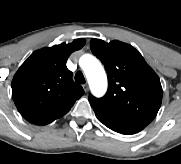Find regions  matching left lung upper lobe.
<instances>
[{
    "label": "left lung upper lobe",
    "mask_w": 181,
    "mask_h": 164,
    "mask_svg": "<svg viewBox=\"0 0 181 164\" xmlns=\"http://www.w3.org/2000/svg\"><path fill=\"white\" fill-rule=\"evenodd\" d=\"M92 53L101 60L108 74V91L102 98L89 95L95 109H105L148 125L162 102L158 75L131 45L118 40L90 41Z\"/></svg>",
    "instance_id": "left-lung-upper-lobe-1"
}]
</instances>
